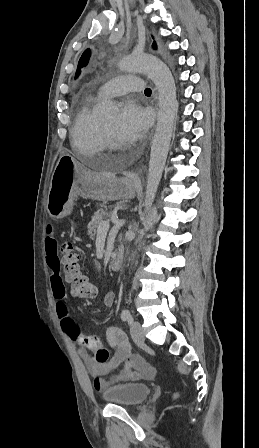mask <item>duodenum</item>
Instances as JSON below:
<instances>
[{
  "instance_id": "1",
  "label": "duodenum",
  "mask_w": 259,
  "mask_h": 448,
  "mask_svg": "<svg viewBox=\"0 0 259 448\" xmlns=\"http://www.w3.org/2000/svg\"><path fill=\"white\" fill-rule=\"evenodd\" d=\"M123 260H124V249L123 247H119L117 255L115 256V258L111 263L112 270L119 271L122 268Z\"/></svg>"
}]
</instances>
